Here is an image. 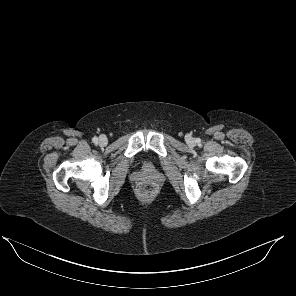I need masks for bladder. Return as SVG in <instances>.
Returning <instances> with one entry per match:
<instances>
[{
	"mask_svg": "<svg viewBox=\"0 0 296 296\" xmlns=\"http://www.w3.org/2000/svg\"><path fill=\"white\" fill-rule=\"evenodd\" d=\"M145 167H146V168H149V165H148V164H145Z\"/></svg>",
	"mask_w": 296,
	"mask_h": 296,
	"instance_id": "31cf9c89",
	"label": "bladder"
}]
</instances>
